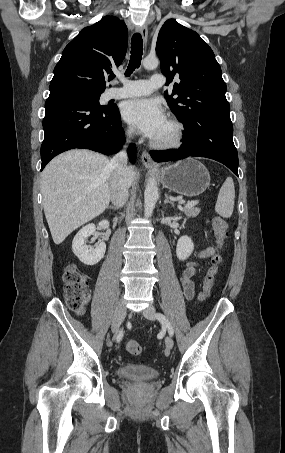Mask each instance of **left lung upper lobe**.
<instances>
[{
  "label": "left lung upper lobe",
  "instance_id": "left-lung-upper-lobe-1",
  "mask_svg": "<svg viewBox=\"0 0 285 453\" xmlns=\"http://www.w3.org/2000/svg\"><path fill=\"white\" fill-rule=\"evenodd\" d=\"M156 53L168 81L174 77L181 80L172 91V96L178 98L165 94L172 112L182 123L198 116L230 118L221 68L212 49L195 31L168 19L159 31Z\"/></svg>",
  "mask_w": 285,
  "mask_h": 453
}]
</instances>
